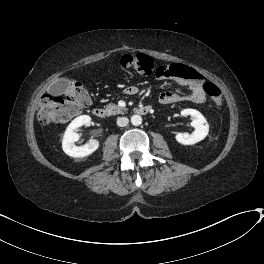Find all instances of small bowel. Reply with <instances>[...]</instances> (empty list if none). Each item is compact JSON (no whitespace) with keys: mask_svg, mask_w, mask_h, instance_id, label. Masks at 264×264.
I'll use <instances>...</instances> for the list:
<instances>
[{"mask_svg":"<svg viewBox=\"0 0 264 264\" xmlns=\"http://www.w3.org/2000/svg\"><path fill=\"white\" fill-rule=\"evenodd\" d=\"M172 78L177 86L184 87L188 90L186 95L168 90L160 95L159 102L162 105L177 103L181 101H191L194 103H202L206 100L205 91L203 88L204 78L200 73L191 67L172 64L169 66ZM136 92L134 86L128 87L125 94L133 95Z\"/></svg>","mask_w":264,"mask_h":264,"instance_id":"1","label":"small bowel"}]
</instances>
